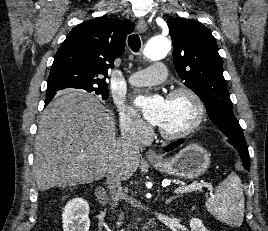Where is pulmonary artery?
Here are the masks:
<instances>
[{
	"mask_svg": "<svg viewBox=\"0 0 268 231\" xmlns=\"http://www.w3.org/2000/svg\"><path fill=\"white\" fill-rule=\"evenodd\" d=\"M166 76V67L157 64L139 70L129 77V82L133 86H146L160 83Z\"/></svg>",
	"mask_w": 268,
	"mask_h": 231,
	"instance_id": "pulmonary-artery-1",
	"label": "pulmonary artery"
}]
</instances>
